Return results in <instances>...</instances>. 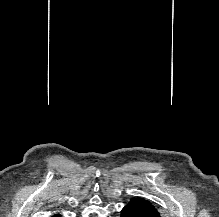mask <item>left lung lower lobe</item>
<instances>
[{"mask_svg": "<svg viewBox=\"0 0 219 217\" xmlns=\"http://www.w3.org/2000/svg\"><path fill=\"white\" fill-rule=\"evenodd\" d=\"M121 217H158L144 211L137 203L130 202L122 209ZM160 217V216H159Z\"/></svg>", "mask_w": 219, "mask_h": 217, "instance_id": "left-lung-lower-lobe-1", "label": "left lung lower lobe"}]
</instances>
